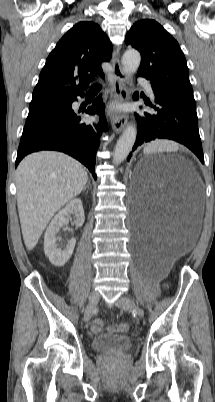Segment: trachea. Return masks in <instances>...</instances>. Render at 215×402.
<instances>
[{
	"label": "trachea",
	"instance_id": "obj_1",
	"mask_svg": "<svg viewBox=\"0 0 215 402\" xmlns=\"http://www.w3.org/2000/svg\"><path fill=\"white\" fill-rule=\"evenodd\" d=\"M91 88H92V89H100V88H101V85L98 84V83H96V84H93V85L91 86Z\"/></svg>",
	"mask_w": 215,
	"mask_h": 402
}]
</instances>
